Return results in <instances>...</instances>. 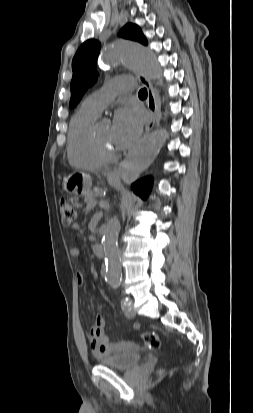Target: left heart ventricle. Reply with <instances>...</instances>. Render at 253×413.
Listing matches in <instances>:
<instances>
[{
    "label": "left heart ventricle",
    "instance_id": "left-heart-ventricle-1",
    "mask_svg": "<svg viewBox=\"0 0 253 413\" xmlns=\"http://www.w3.org/2000/svg\"><path fill=\"white\" fill-rule=\"evenodd\" d=\"M97 134L100 141L108 148L115 149V143L112 136V127L109 124L101 123L97 128Z\"/></svg>",
    "mask_w": 253,
    "mask_h": 413
}]
</instances>
